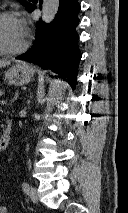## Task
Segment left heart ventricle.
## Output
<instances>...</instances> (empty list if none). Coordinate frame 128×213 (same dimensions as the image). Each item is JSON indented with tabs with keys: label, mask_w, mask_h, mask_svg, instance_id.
Returning a JSON list of instances; mask_svg holds the SVG:
<instances>
[{
	"label": "left heart ventricle",
	"mask_w": 128,
	"mask_h": 213,
	"mask_svg": "<svg viewBox=\"0 0 128 213\" xmlns=\"http://www.w3.org/2000/svg\"><path fill=\"white\" fill-rule=\"evenodd\" d=\"M25 34L21 30L16 18H6L0 23V44L8 49H15L22 45Z\"/></svg>",
	"instance_id": "obj_1"
}]
</instances>
